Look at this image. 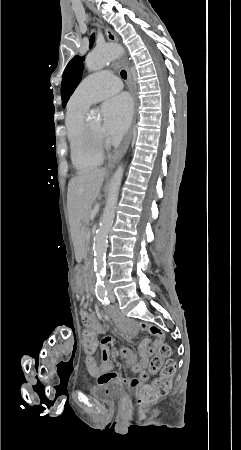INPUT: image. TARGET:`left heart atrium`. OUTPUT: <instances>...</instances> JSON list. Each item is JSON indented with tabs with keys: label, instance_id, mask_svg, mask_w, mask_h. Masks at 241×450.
Returning <instances> with one entry per match:
<instances>
[{
	"label": "left heart atrium",
	"instance_id": "39dd6f15",
	"mask_svg": "<svg viewBox=\"0 0 241 450\" xmlns=\"http://www.w3.org/2000/svg\"><path fill=\"white\" fill-rule=\"evenodd\" d=\"M108 114L107 127L113 136H122L129 127L133 117V104L127 94H119L105 104Z\"/></svg>",
	"mask_w": 241,
	"mask_h": 450
}]
</instances>
